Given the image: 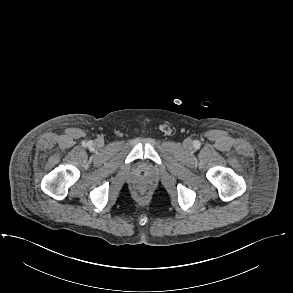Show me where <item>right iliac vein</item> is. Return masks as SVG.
Listing matches in <instances>:
<instances>
[{"mask_svg": "<svg viewBox=\"0 0 293 293\" xmlns=\"http://www.w3.org/2000/svg\"><path fill=\"white\" fill-rule=\"evenodd\" d=\"M102 145H103L102 140H97V141L95 142V146H96V147H101Z\"/></svg>", "mask_w": 293, "mask_h": 293, "instance_id": "63e3f726", "label": "right iliac vein"}]
</instances>
